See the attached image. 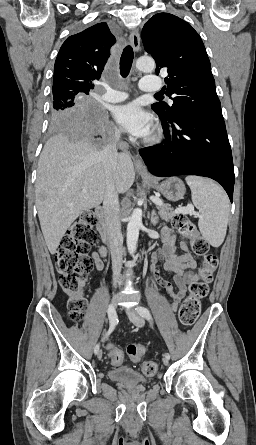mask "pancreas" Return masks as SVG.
<instances>
[{"label":"pancreas","instance_id":"1","mask_svg":"<svg viewBox=\"0 0 256 445\" xmlns=\"http://www.w3.org/2000/svg\"><path fill=\"white\" fill-rule=\"evenodd\" d=\"M160 216L163 220L169 221L172 220L176 214L173 209L168 204H163L162 206H157Z\"/></svg>","mask_w":256,"mask_h":445}]
</instances>
